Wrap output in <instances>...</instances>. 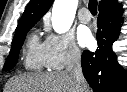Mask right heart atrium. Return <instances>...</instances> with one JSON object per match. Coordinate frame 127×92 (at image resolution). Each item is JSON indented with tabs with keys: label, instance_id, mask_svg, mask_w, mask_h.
<instances>
[{
	"label": "right heart atrium",
	"instance_id": "d8ad5b80",
	"mask_svg": "<svg viewBox=\"0 0 127 92\" xmlns=\"http://www.w3.org/2000/svg\"><path fill=\"white\" fill-rule=\"evenodd\" d=\"M43 60L46 68L62 70L81 60L82 53L70 33L49 32L42 43Z\"/></svg>",
	"mask_w": 127,
	"mask_h": 92
}]
</instances>
